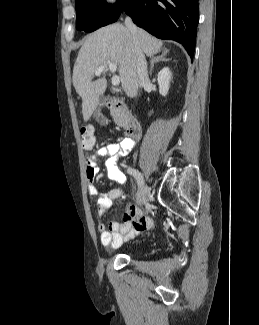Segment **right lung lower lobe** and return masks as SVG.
Segmentation results:
<instances>
[{
  "label": "right lung lower lobe",
  "mask_w": 259,
  "mask_h": 325,
  "mask_svg": "<svg viewBox=\"0 0 259 325\" xmlns=\"http://www.w3.org/2000/svg\"><path fill=\"white\" fill-rule=\"evenodd\" d=\"M123 10L152 35L181 43L193 58L199 0H127Z\"/></svg>",
  "instance_id": "right-lung-lower-lobe-1"
}]
</instances>
